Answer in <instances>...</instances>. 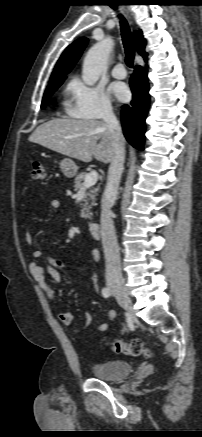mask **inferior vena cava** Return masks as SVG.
I'll use <instances>...</instances> for the list:
<instances>
[{
  "label": "inferior vena cava",
  "mask_w": 202,
  "mask_h": 437,
  "mask_svg": "<svg viewBox=\"0 0 202 437\" xmlns=\"http://www.w3.org/2000/svg\"><path fill=\"white\" fill-rule=\"evenodd\" d=\"M102 119L108 125L112 133L114 157L108 169L107 184L102 197L101 238L106 262V281L107 283H118L122 281V273L111 208L115 203L120 178L123 172L125 147L121 126L111 107L104 110Z\"/></svg>",
  "instance_id": "obj_1"
}]
</instances>
